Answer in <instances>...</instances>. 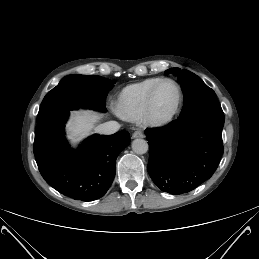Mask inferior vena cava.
Here are the masks:
<instances>
[{
	"label": "inferior vena cava",
	"mask_w": 259,
	"mask_h": 259,
	"mask_svg": "<svg viewBox=\"0 0 259 259\" xmlns=\"http://www.w3.org/2000/svg\"><path fill=\"white\" fill-rule=\"evenodd\" d=\"M120 129V124L116 121H108L98 125L95 132L99 134L109 135L117 132Z\"/></svg>",
	"instance_id": "inferior-vena-cava-1"
}]
</instances>
